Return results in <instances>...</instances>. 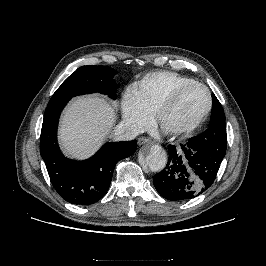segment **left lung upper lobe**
<instances>
[{
	"label": "left lung upper lobe",
	"mask_w": 266,
	"mask_h": 266,
	"mask_svg": "<svg viewBox=\"0 0 266 266\" xmlns=\"http://www.w3.org/2000/svg\"><path fill=\"white\" fill-rule=\"evenodd\" d=\"M190 141L199 144L201 148L212 154L216 153L220 147L226 149L227 135L224 111L214 94H212V114L209 128L203 134L190 138Z\"/></svg>",
	"instance_id": "left-lung-upper-lobe-1"
}]
</instances>
